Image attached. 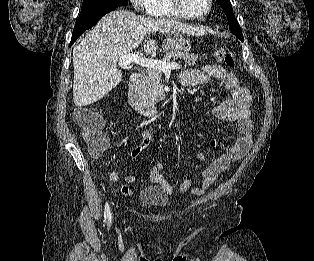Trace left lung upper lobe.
I'll return each instance as SVG.
<instances>
[{
  "label": "left lung upper lobe",
  "instance_id": "left-lung-upper-lobe-1",
  "mask_svg": "<svg viewBox=\"0 0 314 261\" xmlns=\"http://www.w3.org/2000/svg\"><path fill=\"white\" fill-rule=\"evenodd\" d=\"M217 1L220 4V6L222 7V9L225 11V14H226L228 21H229V28H230L231 32L235 36H237L241 41H243L242 30H241L237 20L235 19L234 14H233L231 2L229 0H217Z\"/></svg>",
  "mask_w": 314,
  "mask_h": 261
}]
</instances>
